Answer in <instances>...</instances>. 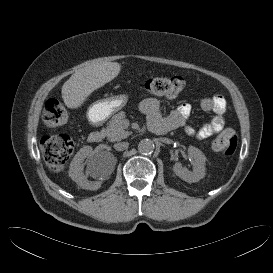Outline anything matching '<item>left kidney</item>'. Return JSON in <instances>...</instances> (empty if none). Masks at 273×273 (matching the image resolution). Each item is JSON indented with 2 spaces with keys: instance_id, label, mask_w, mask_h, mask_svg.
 Returning <instances> with one entry per match:
<instances>
[{
  "instance_id": "obj_1",
  "label": "left kidney",
  "mask_w": 273,
  "mask_h": 273,
  "mask_svg": "<svg viewBox=\"0 0 273 273\" xmlns=\"http://www.w3.org/2000/svg\"><path fill=\"white\" fill-rule=\"evenodd\" d=\"M188 154L194 159L193 171L182 167L180 162H176L173 166L174 173L182 180L188 183L198 182L205 177V161L206 157L201 150L194 146H189Z\"/></svg>"
}]
</instances>
